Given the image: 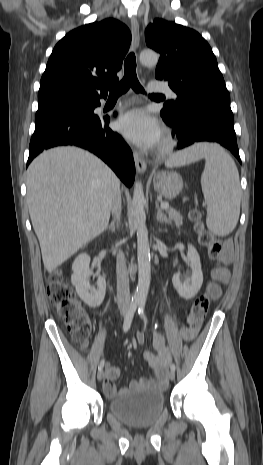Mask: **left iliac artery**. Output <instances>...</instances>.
I'll use <instances>...</instances> for the list:
<instances>
[{
	"label": "left iliac artery",
	"mask_w": 263,
	"mask_h": 465,
	"mask_svg": "<svg viewBox=\"0 0 263 465\" xmlns=\"http://www.w3.org/2000/svg\"><path fill=\"white\" fill-rule=\"evenodd\" d=\"M145 302H140L138 305V313L141 316V318L144 320L145 323H147V318L145 316ZM171 370L175 371L176 366L174 363L170 365Z\"/></svg>",
	"instance_id": "44dca946"
}]
</instances>
